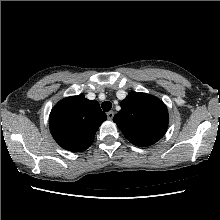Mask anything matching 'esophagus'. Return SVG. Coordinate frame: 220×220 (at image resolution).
Masks as SVG:
<instances>
[{
  "label": "esophagus",
  "mask_w": 220,
  "mask_h": 220,
  "mask_svg": "<svg viewBox=\"0 0 220 220\" xmlns=\"http://www.w3.org/2000/svg\"><path fill=\"white\" fill-rule=\"evenodd\" d=\"M107 117H108L109 120L113 119V117H114V112H113V111H109V112L107 113Z\"/></svg>",
  "instance_id": "34e87169"
}]
</instances>
